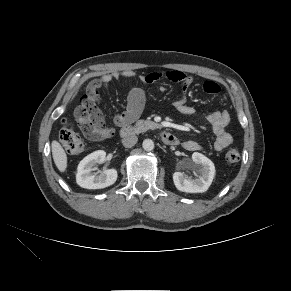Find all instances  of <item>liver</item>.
Returning a JSON list of instances; mask_svg holds the SVG:
<instances>
[{"mask_svg":"<svg viewBox=\"0 0 291 291\" xmlns=\"http://www.w3.org/2000/svg\"><path fill=\"white\" fill-rule=\"evenodd\" d=\"M51 149L55 165L60 172H64L67 168V155L64 149L56 140L52 141Z\"/></svg>","mask_w":291,"mask_h":291,"instance_id":"6515ba94","label":"liver"}]
</instances>
